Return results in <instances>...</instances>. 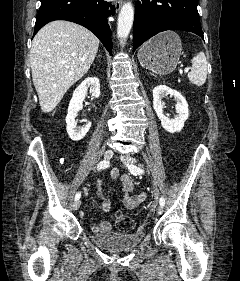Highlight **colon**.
<instances>
[{
	"mask_svg": "<svg viewBox=\"0 0 240 281\" xmlns=\"http://www.w3.org/2000/svg\"><path fill=\"white\" fill-rule=\"evenodd\" d=\"M115 224L116 227L123 232H129L133 229L132 219L122 212H118L115 215Z\"/></svg>",
	"mask_w": 240,
	"mask_h": 281,
	"instance_id": "1",
	"label": "colon"
}]
</instances>
